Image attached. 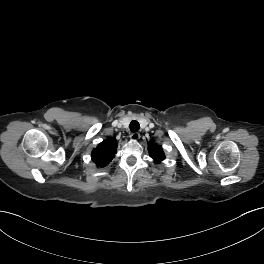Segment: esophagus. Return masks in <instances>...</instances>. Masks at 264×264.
<instances>
[{
	"instance_id": "esophagus-1",
	"label": "esophagus",
	"mask_w": 264,
	"mask_h": 264,
	"mask_svg": "<svg viewBox=\"0 0 264 264\" xmlns=\"http://www.w3.org/2000/svg\"><path fill=\"white\" fill-rule=\"evenodd\" d=\"M139 138H140V134L137 133V132L132 133V134L130 135V139L133 140V141H136V140H138Z\"/></svg>"
}]
</instances>
